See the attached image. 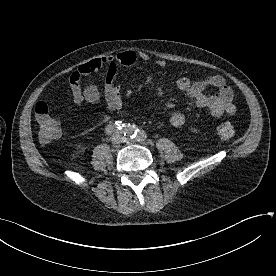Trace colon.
Listing matches in <instances>:
<instances>
[{"label":"colon","mask_w":276,"mask_h":276,"mask_svg":"<svg viewBox=\"0 0 276 276\" xmlns=\"http://www.w3.org/2000/svg\"><path fill=\"white\" fill-rule=\"evenodd\" d=\"M35 118L39 127V140L46 144L59 138L61 127L58 120L49 113L46 102H38L35 106ZM215 134L221 140H229L235 135L234 124L230 121H221L215 128Z\"/></svg>","instance_id":"1"}]
</instances>
